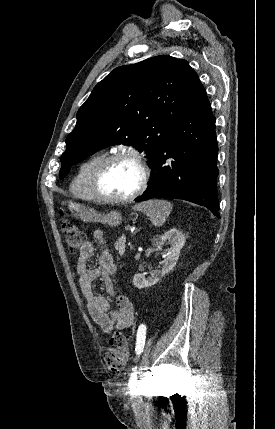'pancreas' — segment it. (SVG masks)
Listing matches in <instances>:
<instances>
[{"label":"pancreas","instance_id":"pancreas-1","mask_svg":"<svg viewBox=\"0 0 275 429\" xmlns=\"http://www.w3.org/2000/svg\"><path fill=\"white\" fill-rule=\"evenodd\" d=\"M125 243H126V237L122 235L118 240L115 242V249L119 252L120 255H123L125 252Z\"/></svg>","mask_w":275,"mask_h":429}]
</instances>
